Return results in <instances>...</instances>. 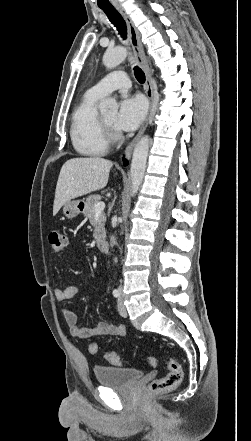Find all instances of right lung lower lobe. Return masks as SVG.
<instances>
[{
  "label": "right lung lower lobe",
  "mask_w": 251,
  "mask_h": 441,
  "mask_svg": "<svg viewBox=\"0 0 251 441\" xmlns=\"http://www.w3.org/2000/svg\"><path fill=\"white\" fill-rule=\"evenodd\" d=\"M124 165H127V161L126 160H124Z\"/></svg>",
  "instance_id": "1"
}]
</instances>
